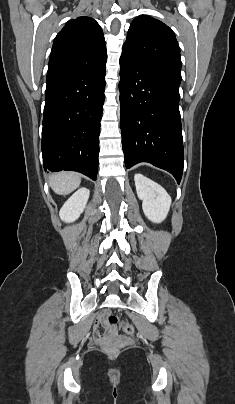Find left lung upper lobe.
Listing matches in <instances>:
<instances>
[{
  "label": "left lung upper lobe",
  "instance_id": "1",
  "mask_svg": "<svg viewBox=\"0 0 235 404\" xmlns=\"http://www.w3.org/2000/svg\"><path fill=\"white\" fill-rule=\"evenodd\" d=\"M123 55L181 79L180 48L174 32L146 15L136 17L128 30Z\"/></svg>",
  "mask_w": 235,
  "mask_h": 404
}]
</instances>
